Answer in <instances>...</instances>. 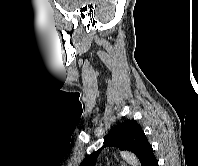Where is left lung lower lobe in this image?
I'll return each instance as SVG.
<instances>
[{
	"label": "left lung lower lobe",
	"instance_id": "0a47b994",
	"mask_svg": "<svg viewBox=\"0 0 198 166\" xmlns=\"http://www.w3.org/2000/svg\"><path fill=\"white\" fill-rule=\"evenodd\" d=\"M146 166H158V160L155 158L154 155L149 159Z\"/></svg>",
	"mask_w": 198,
	"mask_h": 166
}]
</instances>
